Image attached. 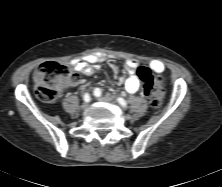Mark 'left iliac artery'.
Instances as JSON below:
<instances>
[{
    "label": "left iliac artery",
    "instance_id": "obj_1",
    "mask_svg": "<svg viewBox=\"0 0 222 187\" xmlns=\"http://www.w3.org/2000/svg\"><path fill=\"white\" fill-rule=\"evenodd\" d=\"M101 94H102L101 89L96 88V89L94 90V95H95V96H100ZM117 102H118L121 106L127 107V102H126L123 98L118 97V98H117Z\"/></svg>",
    "mask_w": 222,
    "mask_h": 187
}]
</instances>
